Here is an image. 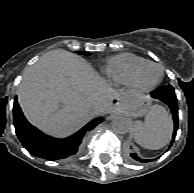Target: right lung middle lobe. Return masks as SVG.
<instances>
[{"instance_id":"right-lung-middle-lobe-1","label":"right lung middle lobe","mask_w":194,"mask_h":193,"mask_svg":"<svg viewBox=\"0 0 194 193\" xmlns=\"http://www.w3.org/2000/svg\"><path fill=\"white\" fill-rule=\"evenodd\" d=\"M78 53H79V54H83V55H90L89 52H84V51H79Z\"/></svg>"}]
</instances>
